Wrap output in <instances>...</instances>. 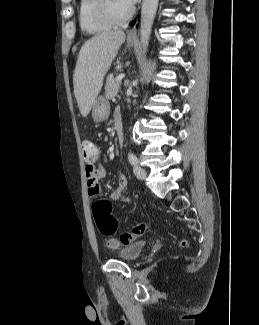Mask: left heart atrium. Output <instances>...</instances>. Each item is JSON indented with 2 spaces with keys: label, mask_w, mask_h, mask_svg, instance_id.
Masks as SVG:
<instances>
[{
  "label": "left heart atrium",
  "mask_w": 259,
  "mask_h": 325,
  "mask_svg": "<svg viewBox=\"0 0 259 325\" xmlns=\"http://www.w3.org/2000/svg\"><path fill=\"white\" fill-rule=\"evenodd\" d=\"M127 5H133L137 0H123Z\"/></svg>",
  "instance_id": "obj_1"
}]
</instances>
